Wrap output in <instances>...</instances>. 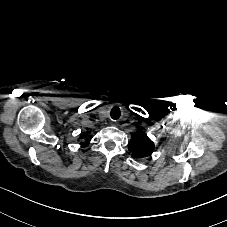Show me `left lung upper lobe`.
Here are the masks:
<instances>
[{"label":"left lung upper lobe","instance_id":"5c2ea615","mask_svg":"<svg viewBox=\"0 0 227 227\" xmlns=\"http://www.w3.org/2000/svg\"><path fill=\"white\" fill-rule=\"evenodd\" d=\"M128 150L135 159L149 157L154 150V143L148 138L142 129H138L131 136Z\"/></svg>","mask_w":227,"mask_h":227}]
</instances>
